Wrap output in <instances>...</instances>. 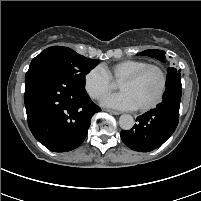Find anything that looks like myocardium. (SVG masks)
I'll return each instance as SVG.
<instances>
[{"instance_id":"f54148a6","label":"myocardium","mask_w":201,"mask_h":201,"mask_svg":"<svg viewBox=\"0 0 201 201\" xmlns=\"http://www.w3.org/2000/svg\"><path fill=\"white\" fill-rule=\"evenodd\" d=\"M148 70H156L161 78V85H160V89L156 95V97L149 103L136 107L137 110L139 111H147L150 110L154 107H156L160 101L162 100L166 89H167V85H168V77H167V73L165 71V69L157 64H147L146 66L136 70L135 72L129 74L128 76L124 77L120 82V83H131L136 81L139 77H141L145 72H147Z\"/></svg>"}]
</instances>
